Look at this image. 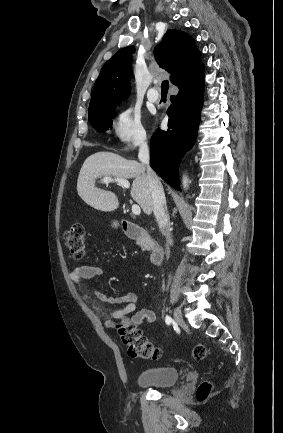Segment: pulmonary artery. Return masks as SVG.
<instances>
[{"mask_svg":"<svg viewBox=\"0 0 283 433\" xmlns=\"http://www.w3.org/2000/svg\"><path fill=\"white\" fill-rule=\"evenodd\" d=\"M147 98L151 102H158L161 99V96L159 94H155V90H150V92L147 93Z\"/></svg>","mask_w":283,"mask_h":433,"instance_id":"e3ab8cb5","label":"pulmonary artery"}]
</instances>
